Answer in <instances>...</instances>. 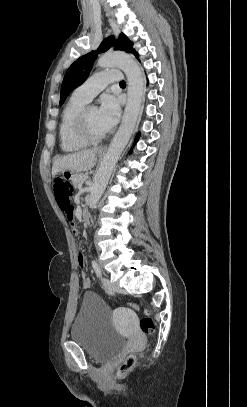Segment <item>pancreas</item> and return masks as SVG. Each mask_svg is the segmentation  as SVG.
I'll return each instance as SVG.
<instances>
[{
  "label": "pancreas",
  "instance_id": "cf45deb5",
  "mask_svg": "<svg viewBox=\"0 0 247 407\" xmlns=\"http://www.w3.org/2000/svg\"><path fill=\"white\" fill-rule=\"evenodd\" d=\"M85 177V174H83V173H79V174H77L76 176H75V178L73 179V184H74V186H78L79 184H80V182H81V180L83 179Z\"/></svg>",
  "mask_w": 247,
  "mask_h": 407
}]
</instances>
